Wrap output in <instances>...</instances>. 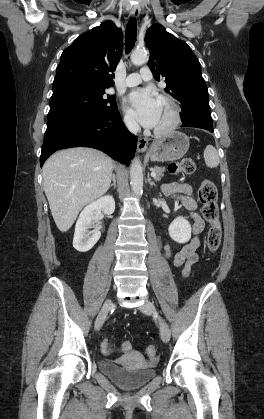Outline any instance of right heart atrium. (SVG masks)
<instances>
[{
  "label": "right heart atrium",
  "mask_w": 264,
  "mask_h": 419,
  "mask_svg": "<svg viewBox=\"0 0 264 419\" xmlns=\"http://www.w3.org/2000/svg\"><path fill=\"white\" fill-rule=\"evenodd\" d=\"M123 122H124V125L131 131H135L138 128V125L135 119L128 112L124 113Z\"/></svg>",
  "instance_id": "1"
}]
</instances>
